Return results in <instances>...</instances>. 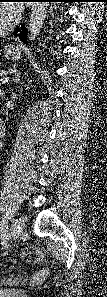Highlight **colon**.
Wrapping results in <instances>:
<instances>
[{"instance_id": "5ec220e1", "label": "colon", "mask_w": 107, "mask_h": 297, "mask_svg": "<svg viewBox=\"0 0 107 297\" xmlns=\"http://www.w3.org/2000/svg\"><path fill=\"white\" fill-rule=\"evenodd\" d=\"M28 259H30L31 261H36L38 259V256L35 253H29L28 254Z\"/></svg>"}]
</instances>
